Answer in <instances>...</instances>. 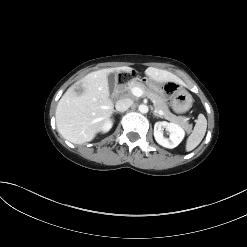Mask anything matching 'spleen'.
Returning a JSON list of instances; mask_svg holds the SVG:
<instances>
[{
    "label": "spleen",
    "mask_w": 247,
    "mask_h": 247,
    "mask_svg": "<svg viewBox=\"0 0 247 247\" xmlns=\"http://www.w3.org/2000/svg\"><path fill=\"white\" fill-rule=\"evenodd\" d=\"M207 129V120L203 114H199L193 132L186 142V151H192L196 148L205 136Z\"/></svg>",
    "instance_id": "3e777b00"
}]
</instances>
